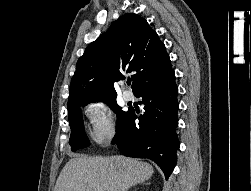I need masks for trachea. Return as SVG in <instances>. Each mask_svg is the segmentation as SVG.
Here are the masks:
<instances>
[{
  "instance_id": "trachea-1",
  "label": "trachea",
  "mask_w": 251,
  "mask_h": 191,
  "mask_svg": "<svg viewBox=\"0 0 251 191\" xmlns=\"http://www.w3.org/2000/svg\"><path fill=\"white\" fill-rule=\"evenodd\" d=\"M131 84V80H127V85H130Z\"/></svg>"
}]
</instances>
